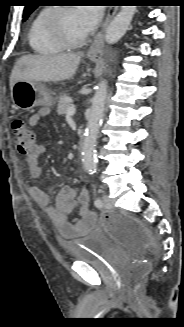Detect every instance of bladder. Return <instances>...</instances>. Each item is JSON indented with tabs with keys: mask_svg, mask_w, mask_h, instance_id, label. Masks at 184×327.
I'll list each match as a JSON object with an SVG mask.
<instances>
[{
	"mask_svg": "<svg viewBox=\"0 0 184 327\" xmlns=\"http://www.w3.org/2000/svg\"><path fill=\"white\" fill-rule=\"evenodd\" d=\"M112 248L110 238L100 229H94L73 243L65 244V249L76 262L93 263Z\"/></svg>",
	"mask_w": 184,
	"mask_h": 327,
	"instance_id": "31cf9c89",
	"label": "bladder"
}]
</instances>
